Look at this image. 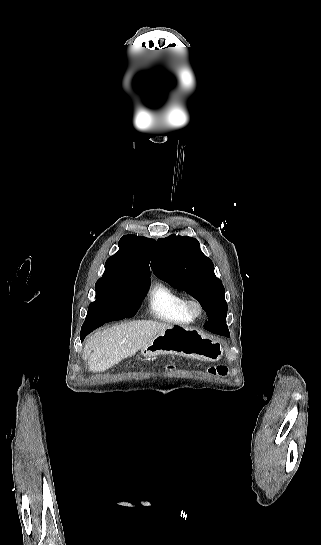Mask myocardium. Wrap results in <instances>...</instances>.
Instances as JSON below:
<instances>
[{
	"instance_id": "f54148a6",
	"label": "myocardium",
	"mask_w": 321,
	"mask_h": 545,
	"mask_svg": "<svg viewBox=\"0 0 321 545\" xmlns=\"http://www.w3.org/2000/svg\"><path fill=\"white\" fill-rule=\"evenodd\" d=\"M188 310L193 318H197L201 316L203 309L201 303L198 300L191 299L188 301Z\"/></svg>"
}]
</instances>
